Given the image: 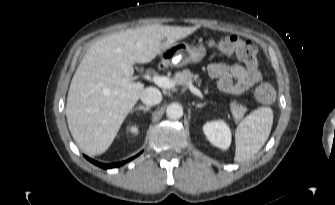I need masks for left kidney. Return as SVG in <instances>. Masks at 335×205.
<instances>
[{
  "instance_id": "left-kidney-1",
  "label": "left kidney",
  "mask_w": 335,
  "mask_h": 205,
  "mask_svg": "<svg viewBox=\"0 0 335 205\" xmlns=\"http://www.w3.org/2000/svg\"><path fill=\"white\" fill-rule=\"evenodd\" d=\"M203 132L208 141L214 146L223 150L229 148L231 143V130L225 121L217 120L207 122L203 126Z\"/></svg>"
}]
</instances>
